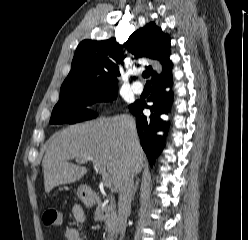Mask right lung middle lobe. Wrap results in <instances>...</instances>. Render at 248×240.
Returning a JSON list of instances; mask_svg holds the SVG:
<instances>
[{
	"mask_svg": "<svg viewBox=\"0 0 248 240\" xmlns=\"http://www.w3.org/2000/svg\"><path fill=\"white\" fill-rule=\"evenodd\" d=\"M117 97V89L101 90L95 88L66 89L60 92L50 123H77L93 119L96 113L87 109L95 102L112 101Z\"/></svg>",
	"mask_w": 248,
	"mask_h": 240,
	"instance_id": "right-lung-middle-lobe-1",
	"label": "right lung middle lobe"
}]
</instances>
